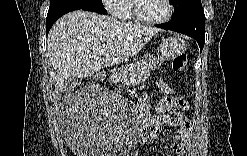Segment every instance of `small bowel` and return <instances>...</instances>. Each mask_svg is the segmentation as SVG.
I'll list each match as a JSON object with an SVG mask.
<instances>
[{"mask_svg":"<svg viewBox=\"0 0 247 156\" xmlns=\"http://www.w3.org/2000/svg\"><path fill=\"white\" fill-rule=\"evenodd\" d=\"M161 91L166 94L164 98H171V101H174V106H170V109H162L161 113L165 114L164 118H160L159 121L155 120V116H149L147 114V100L148 96L144 95L142 99V107L145 113V118L147 123L152 127L159 126H170L176 130V133L173 139L170 141V145L172 148V153L174 155L180 156L185 155L188 149V141L191 135V124L189 120L179 112L180 109H186L187 103L181 99L175 98L173 94V89L166 85L164 82L160 81L158 83ZM155 139V131L152 129L149 134H147L142 141L148 142Z\"/></svg>","mask_w":247,"mask_h":156,"instance_id":"small-bowel-1","label":"small bowel"}]
</instances>
